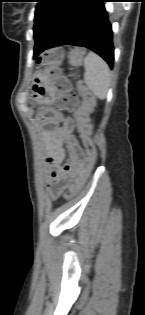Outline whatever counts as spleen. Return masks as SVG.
Wrapping results in <instances>:
<instances>
[{"label": "spleen", "instance_id": "spleen-1", "mask_svg": "<svg viewBox=\"0 0 145 315\" xmlns=\"http://www.w3.org/2000/svg\"><path fill=\"white\" fill-rule=\"evenodd\" d=\"M84 81L93 94L103 100L110 86V69L107 63L96 53L89 52L84 58Z\"/></svg>", "mask_w": 145, "mask_h": 315}]
</instances>
